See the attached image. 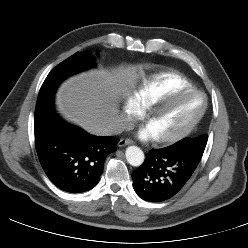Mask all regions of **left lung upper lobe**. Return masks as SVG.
<instances>
[{"instance_id": "5c2ea615", "label": "left lung upper lobe", "mask_w": 248, "mask_h": 248, "mask_svg": "<svg viewBox=\"0 0 248 248\" xmlns=\"http://www.w3.org/2000/svg\"><path fill=\"white\" fill-rule=\"evenodd\" d=\"M208 136L207 135H201L197 138H184L178 142H176L174 145L177 146H188L200 150H205L206 144H207Z\"/></svg>"}]
</instances>
